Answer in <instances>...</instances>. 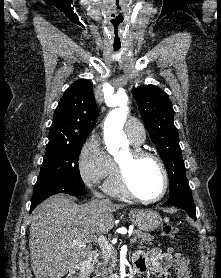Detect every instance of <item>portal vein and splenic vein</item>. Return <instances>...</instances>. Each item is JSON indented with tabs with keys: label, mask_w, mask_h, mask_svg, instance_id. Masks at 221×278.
I'll use <instances>...</instances> for the list:
<instances>
[{
	"label": "portal vein and splenic vein",
	"mask_w": 221,
	"mask_h": 278,
	"mask_svg": "<svg viewBox=\"0 0 221 278\" xmlns=\"http://www.w3.org/2000/svg\"><path fill=\"white\" fill-rule=\"evenodd\" d=\"M74 243L81 244L83 242H96L98 245L102 248V250H106L107 252H111L112 250V245L107 241V239L104 236H99V237H91L90 239H85V240H73ZM130 242L133 243L135 242L134 238L130 239Z\"/></svg>",
	"instance_id": "obj_1"
}]
</instances>
